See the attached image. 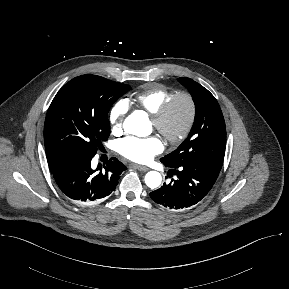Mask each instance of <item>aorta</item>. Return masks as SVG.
<instances>
[{
  "label": "aorta",
  "mask_w": 289,
  "mask_h": 289,
  "mask_svg": "<svg viewBox=\"0 0 289 289\" xmlns=\"http://www.w3.org/2000/svg\"><path fill=\"white\" fill-rule=\"evenodd\" d=\"M147 122L148 118L146 114L143 111L137 110L126 118L124 126L129 132L135 133L137 131H140L144 126H146ZM161 181V174L157 171H150L145 175V183L151 189L159 187Z\"/></svg>",
  "instance_id": "762f6f07"
}]
</instances>
